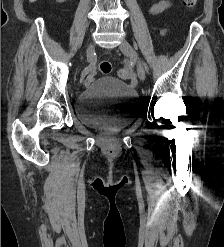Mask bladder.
Listing matches in <instances>:
<instances>
[{
	"mask_svg": "<svg viewBox=\"0 0 224 247\" xmlns=\"http://www.w3.org/2000/svg\"><path fill=\"white\" fill-rule=\"evenodd\" d=\"M139 109L137 92L125 83L101 77L80 93L76 114L84 124L107 132L128 126Z\"/></svg>",
	"mask_w": 224,
	"mask_h": 247,
	"instance_id": "obj_1",
	"label": "bladder"
}]
</instances>
